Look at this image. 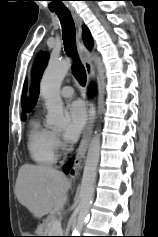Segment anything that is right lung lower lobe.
Here are the masks:
<instances>
[{
  "instance_id": "1",
  "label": "right lung lower lobe",
  "mask_w": 158,
  "mask_h": 237,
  "mask_svg": "<svg viewBox=\"0 0 158 237\" xmlns=\"http://www.w3.org/2000/svg\"><path fill=\"white\" fill-rule=\"evenodd\" d=\"M70 167H71V163L70 162L66 163L63 167L64 172L67 173L69 171Z\"/></svg>"
}]
</instances>
